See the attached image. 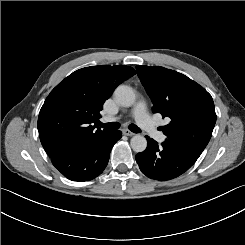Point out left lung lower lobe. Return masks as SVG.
Instances as JSON below:
<instances>
[{"instance_id":"1","label":"left lung lower lobe","mask_w":245,"mask_h":245,"mask_svg":"<svg viewBox=\"0 0 245 245\" xmlns=\"http://www.w3.org/2000/svg\"><path fill=\"white\" fill-rule=\"evenodd\" d=\"M147 148L135 158L140 170L150 179L167 181L185 173L199 158L200 152L166 139L161 146L146 136Z\"/></svg>"}]
</instances>
